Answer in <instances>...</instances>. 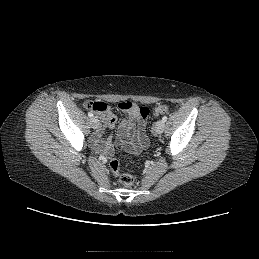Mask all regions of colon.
Here are the masks:
<instances>
[{
	"label": "colon",
	"instance_id": "5ec220e1",
	"mask_svg": "<svg viewBox=\"0 0 259 259\" xmlns=\"http://www.w3.org/2000/svg\"><path fill=\"white\" fill-rule=\"evenodd\" d=\"M105 103L103 102H89L88 106L92 110L101 111L105 109ZM131 104L129 102H123L119 104V108H129ZM169 112V107L166 105H160L155 108L154 114L159 116ZM140 113L144 118H147L149 115V109L146 107L140 108ZM110 168L113 173L119 175V181L124 187H130L134 183V178L131 174L128 173H121L120 164L116 159H113L110 162Z\"/></svg>",
	"mask_w": 259,
	"mask_h": 259
}]
</instances>
